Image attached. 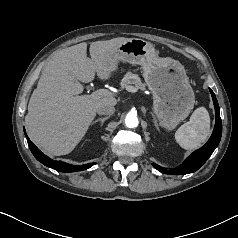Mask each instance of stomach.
<instances>
[{
  "mask_svg": "<svg viewBox=\"0 0 238 238\" xmlns=\"http://www.w3.org/2000/svg\"><path fill=\"white\" fill-rule=\"evenodd\" d=\"M119 61L142 66L144 80L153 94V111L162 127L172 130L188 117L195 96L179 61L159 57L150 42L139 38H127L109 52L114 70Z\"/></svg>",
  "mask_w": 238,
  "mask_h": 238,
  "instance_id": "1",
  "label": "stomach"
}]
</instances>
